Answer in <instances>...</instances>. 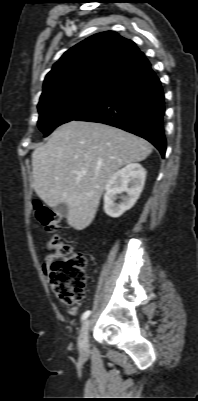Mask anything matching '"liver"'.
Returning a JSON list of instances; mask_svg holds the SVG:
<instances>
[{
    "label": "liver",
    "instance_id": "6515ba94",
    "mask_svg": "<svg viewBox=\"0 0 198 401\" xmlns=\"http://www.w3.org/2000/svg\"><path fill=\"white\" fill-rule=\"evenodd\" d=\"M152 152L145 139L116 127L87 121L59 126L32 153L33 188L49 206H68L67 223L82 230L93 221L110 177ZM79 171H85L79 176Z\"/></svg>",
    "mask_w": 198,
    "mask_h": 401
}]
</instances>
